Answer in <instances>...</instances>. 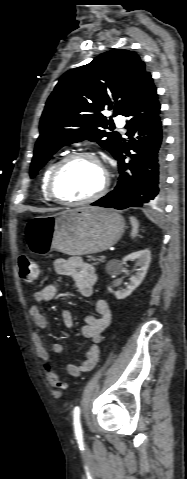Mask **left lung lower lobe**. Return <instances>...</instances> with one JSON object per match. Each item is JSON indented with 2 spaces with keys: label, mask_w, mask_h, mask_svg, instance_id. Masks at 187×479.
Returning a JSON list of instances; mask_svg holds the SVG:
<instances>
[{
  "label": "left lung lower lobe",
  "mask_w": 187,
  "mask_h": 479,
  "mask_svg": "<svg viewBox=\"0 0 187 479\" xmlns=\"http://www.w3.org/2000/svg\"><path fill=\"white\" fill-rule=\"evenodd\" d=\"M124 116L129 117L125 127L129 133V148L135 154L130 163H125L123 153L128 152L121 143L115 157L120 173L118 184L91 205L126 209L155 205L164 196V139L160 104L151 75L144 79L138 97Z\"/></svg>",
  "instance_id": "obj_1"
}]
</instances>
